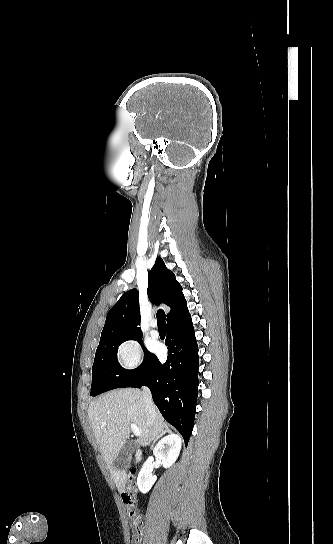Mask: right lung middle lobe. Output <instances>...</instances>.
Instances as JSON below:
<instances>
[{
	"instance_id": "1",
	"label": "right lung middle lobe",
	"mask_w": 333,
	"mask_h": 544,
	"mask_svg": "<svg viewBox=\"0 0 333 544\" xmlns=\"http://www.w3.org/2000/svg\"><path fill=\"white\" fill-rule=\"evenodd\" d=\"M141 339L142 336H117L100 340L92 367L91 396H96L115 388L129 387L141 379L149 358L152 355L145 349ZM127 340H138L144 350L143 363L133 370L122 368L117 360V349L119 345Z\"/></svg>"
}]
</instances>
